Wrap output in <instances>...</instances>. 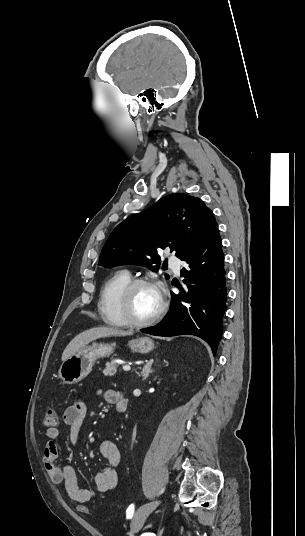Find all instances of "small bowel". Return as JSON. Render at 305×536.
<instances>
[{"label":"small bowel","mask_w":305,"mask_h":536,"mask_svg":"<svg viewBox=\"0 0 305 536\" xmlns=\"http://www.w3.org/2000/svg\"><path fill=\"white\" fill-rule=\"evenodd\" d=\"M114 390L102 392L103 399L108 403H113ZM87 408L83 401H76L64 412V421L70 427V439L76 444L82 425L86 418ZM59 429L50 426L46 430V441L42 449V458L46 472L51 481L56 484H64L68 497L74 500H91L95 492L89 489H81L78 486L75 468L71 464L61 468L57 463ZM99 452L106 461L105 466L96 474L94 482L96 491L106 492L114 489L118 483L117 468L121 463V452L115 442L111 439H103L99 443Z\"/></svg>","instance_id":"obj_1"}]
</instances>
